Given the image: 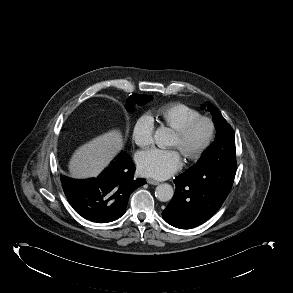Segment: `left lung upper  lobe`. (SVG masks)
<instances>
[{"label": "left lung upper lobe", "mask_w": 293, "mask_h": 293, "mask_svg": "<svg viewBox=\"0 0 293 293\" xmlns=\"http://www.w3.org/2000/svg\"><path fill=\"white\" fill-rule=\"evenodd\" d=\"M208 110L213 115L217 134L214 143L202 154L196 165L191 168H223L235 163V136L234 131L221 112L208 102Z\"/></svg>", "instance_id": "5c2ea615"}]
</instances>
